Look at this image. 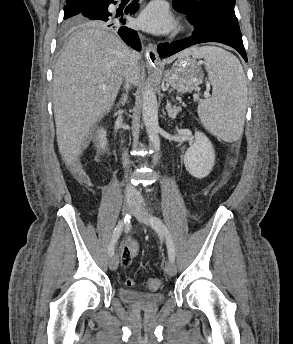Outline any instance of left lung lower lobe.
<instances>
[{"label": "left lung lower lobe", "mask_w": 293, "mask_h": 344, "mask_svg": "<svg viewBox=\"0 0 293 344\" xmlns=\"http://www.w3.org/2000/svg\"><path fill=\"white\" fill-rule=\"evenodd\" d=\"M175 10L179 11L174 7ZM181 12V11H179ZM189 16V15H188ZM189 22L195 27L193 34L183 40L158 45V53L161 58L169 57L187 47L205 42H218L231 46L247 61V55L242 38L236 37L230 32L212 25H200L194 18L189 16Z\"/></svg>", "instance_id": "obj_1"}]
</instances>
